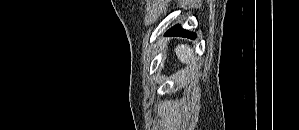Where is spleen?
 I'll use <instances>...</instances> for the list:
<instances>
[{
	"label": "spleen",
	"instance_id": "spleen-1",
	"mask_svg": "<svg viewBox=\"0 0 299 130\" xmlns=\"http://www.w3.org/2000/svg\"><path fill=\"white\" fill-rule=\"evenodd\" d=\"M176 55L178 59L185 64H190L191 62H194V55H193V49L190 48L187 44H181L178 45L175 48Z\"/></svg>",
	"mask_w": 299,
	"mask_h": 130
}]
</instances>
